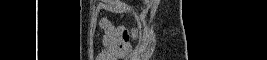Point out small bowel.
<instances>
[{
	"label": "small bowel",
	"instance_id": "c3829d8e",
	"mask_svg": "<svg viewBox=\"0 0 267 60\" xmlns=\"http://www.w3.org/2000/svg\"><path fill=\"white\" fill-rule=\"evenodd\" d=\"M100 26L104 30V50L99 54L98 59H121L128 52L130 43L135 38V31L128 30L124 26H115L107 18L100 20Z\"/></svg>",
	"mask_w": 267,
	"mask_h": 60
}]
</instances>
